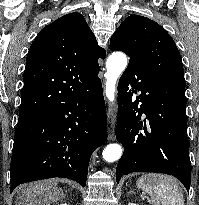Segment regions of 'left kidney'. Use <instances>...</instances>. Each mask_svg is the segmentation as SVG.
Wrapping results in <instances>:
<instances>
[{"mask_svg": "<svg viewBox=\"0 0 199 205\" xmlns=\"http://www.w3.org/2000/svg\"><path fill=\"white\" fill-rule=\"evenodd\" d=\"M128 205H138V204H135V203H129Z\"/></svg>", "mask_w": 199, "mask_h": 205, "instance_id": "1", "label": "left kidney"}]
</instances>
